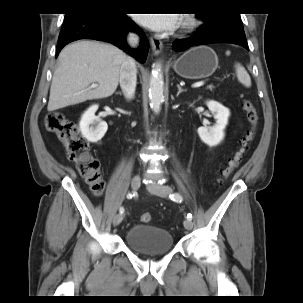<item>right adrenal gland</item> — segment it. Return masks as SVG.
<instances>
[{
	"label": "right adrenal gland",
	"mask_w": 303,
	"mask_h": 303,
	"mask_svg": "<svg viewBox=\"0 0 303 303\" xmlns=\"http://www.w3.org/2000/svg\"><path fill=\"white\" fill-rule=\"evenodd\" d=\"M116 94L122 95V93H121V92H117Z\"/></svg>",
	"instance_id": "2a0ac1e0"
}]
</instances>
